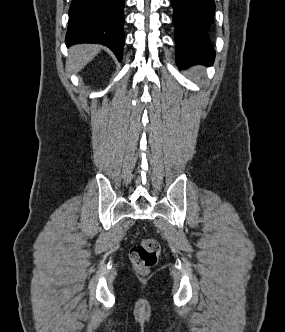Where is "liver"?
I'll return each mask as SVG.
<instances>
[{"label":"liver","instance_id":"liver-1","mask_svg":"<svg viewBox=\"0 0 285 332\" xmlns=\"http://www.w3.org/2000/svg\"><path fill=\"white\" fill-rule=\"evenodd\" d=\"M101 46L93 44H80L69 50L66 63L68 69L73 73L81 71L99 52Z\"/></svg>","mask_w":285,"mask_h":332}]
</instances>
